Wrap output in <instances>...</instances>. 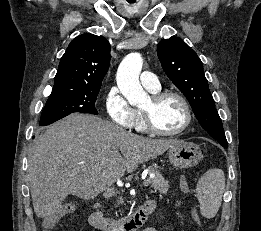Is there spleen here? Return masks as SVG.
Segmentation results:
<instances>
[{
    "instance_id": "3e777b00",
    "label": "spleen",
    "mask_w": 261,
    "mask_h": 231,
    "mask_svg": "<svg viewBox=\"0 0 261 231\" xmlns=\"http://www.w3.org/2000/svg\"><path fill=\"white\" fill-rule=\"evenodd\" d=\"M225 190V177L221 169H210L199 179L196 194L200 203L201 214L213 218L221 206Z\"/></svg>"
}]
</instances>
